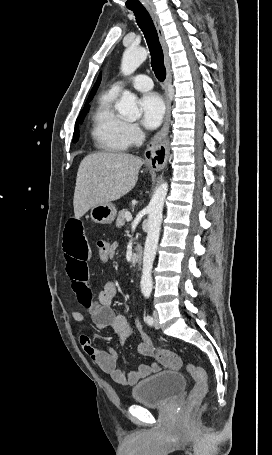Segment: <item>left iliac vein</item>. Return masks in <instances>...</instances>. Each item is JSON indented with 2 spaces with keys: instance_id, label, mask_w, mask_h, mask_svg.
Wrapping results in <instances>:
<instances>
[{
  "instance_id": "left-iliac-vein-1",
  "label": "left iliac vein",
  "mask_w": 272,
  "mask_h": 455,
  "mask_svg": "<svg viewBox=\"0 0 272 455\" xmlns=\"http://www.w3.org/2000/svg\"><path fill=\"white\" fill-rule=\"evenodd\" d=\"M153 325L156 329H159L160 328V324H159V316H158V312L157 311H154L153 312Z\"/></svg>"
}]
</instances>
